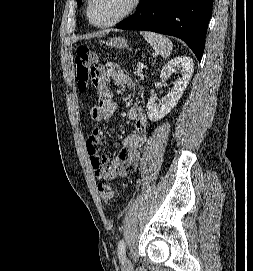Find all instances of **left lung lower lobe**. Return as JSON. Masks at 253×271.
I'll list each match as a JSON object with an SVG mask.
<instances>
[{"label": "left lung lower lobe", "mask_w": 253, "mask_h": 271, "mask_svg": "<svg viewBox=\"0 0 253 271\" xmlns=\"http://www.w3.org/2000/svg\"><path fill=\"white\" fill-rule=\"evenodd\" d=\"M213 0H140L118 29L146 30L182 39L201 61Z\"/></svg>", "instance_id": "obj_1"}]
</instances>
